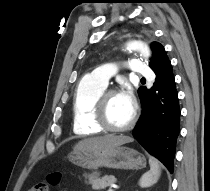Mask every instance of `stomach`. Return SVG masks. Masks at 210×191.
Returning a JSON list of instances; mask_svg holds the SVG:
<instances>
[{
    "instance_id": "1",
    "label": "stomach",
    "mask_w": 210,
    "mask_h": 191,
    "mask_svg": "<svg viewBox=\"0 0 210 191\" xmlns=\"http://www.w3.org/2000/svg\"><path fill=\"white\" fill-rule=\"evenodd\" d=\"M69 159L73 164L89 170L101 167L139 170L146 166V159L142 154L121 145L106 149L74 150Z\"/></svg>"
}]
</instances>
